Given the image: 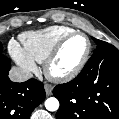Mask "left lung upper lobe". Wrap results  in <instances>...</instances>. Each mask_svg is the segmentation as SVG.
I'll return each mask as SVG.
<instances>
[{"label": "left lung upper lobe", "mask_w": 119, "mask_h": 119, "mask_svg": "<svg viewBox=\"0 0 119 119\" xmlns=\"http://www.w3.org/2000/svg\"><path fill=\"white\" fill-rule=\"evenodd\" d=\"M93 40L96 42L97 44V47L96 49L94 50V53L100 51L103 47L107 46L108 43L107 42H104V41H101V40H98V39H95L93 38Z\"/></svg>", "instance_id": "5c2ea615"}]
</instances>
